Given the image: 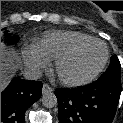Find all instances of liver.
Wrapping results in <instances>:
<instances>
[{
    "label": "liver",
    "instance_id": "6515ba94",
    "mask_svg": "<svg viewBox=\"0 0 123 123\" xmlns=\"http://www.w3.org/2000/svg\"><path fill=\"white\" fill-rule=\"evenodd\" d=\"M19 57L15 50L1 43V91L8 85L18 68Z\"/></svg>",
    "mask_w": 123,
    "mask_h": 123
}]
</instances>
